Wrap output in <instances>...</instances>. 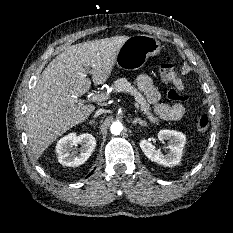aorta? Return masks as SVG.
Returning a JSON list of instances; mask_svg holds the SVG:
<instances>
[{
	"label": "aorta",
	"mask_w": 233,
	"mask_h": 233,
	"mask_svg": "<svg viewBox=\"0 0 233 233\" xmlns=\"http://www.w3.org/2000/svg\"><path fill=\"white\" fill-rule=\"evenodd\" d=\"M110 130L113 135H119L123 130V125L121 122H114L111 125Z\"/></svg>",
	"instance_id": "aorta-1"
}]
</instances>
